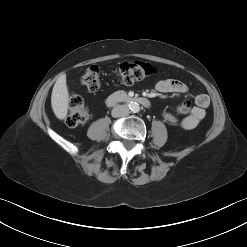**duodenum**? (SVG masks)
Masks as SVG:
<instances>
[{
	"mask_svg": "<svg viewBox=\"0 0 247 247\" xmlns=\"http://www.w3.org/2000/svg\"><path fill=\"white\" fill-rule=\"evenodd\" d=\"M118 102H127V103H138L140 105H148V100L142 97H131L122 92H116L110 95L107 99V103L110 105L116 104Z\"/></svg>",
	"mask_w": 247,
	"mask_h": 247,
	"instance_id": "1",
	"label": "duodenum"
}]
</instances>
